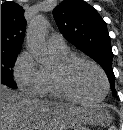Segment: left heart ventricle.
Masks as SVG:
<instances>
[{
	"label": "left heart ventricle",
	"mask_w": 123,
	"mask_h": 130,
	"mask_svg": "<svg viewBox=\"0 0 123 130\" xmlns=\"http://www.w3.org/2000/svg\"><path fill=\"white\" fill-rule=\"evenodd\" d=\"M69 83L73 91L85 99H98L104 92V81L93 66L86 63L76 64L69 73Z\"/></svg>",
	"instance_id": "obj_1"
}]
</instances>
